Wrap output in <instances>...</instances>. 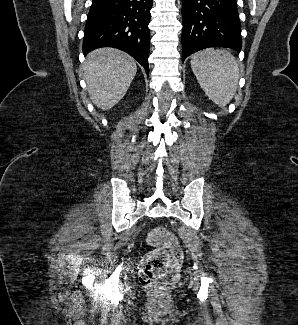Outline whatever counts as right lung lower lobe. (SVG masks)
Returning a JSON list of instances; mask_svg holds the SVG:
<instances>
[{
  "label": "right lung lower lobe",
  "instance_id": "1",
  "mask_svg": "<svg viewBox=\"0 0 298 325\" xmlns=\"http://www.w3.org/2000/svg\"><path fill=\"white\" fill-rule=\"evenodd\" d=\"M153 0H92L85 26L83 53L114 47L135 58L149 73L148 28Z\"/></svg>",
  "mask_w": 298,
  "mask_h": 325
}]
</instances>
